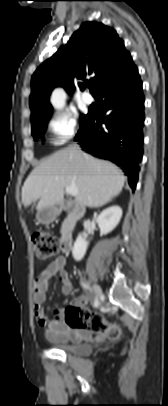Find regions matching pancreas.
I'll return each mask as SVG.
<instances>
[{"instance_id": "pancreas-1", "label": "pancreas", "mask_w": 168, "mask_h": 406, "mask_svg": "<svg viewBox=\"0 0 168 406\" xmlns=\"http://www.w3.org/2000/svg\"><path fill=\"white\" fill-rule=\"evenodd\" d=\"M65 224H66V221L63 223V225H62V227L64 228L65 227Z\"/></svg>"}]
</instances>
